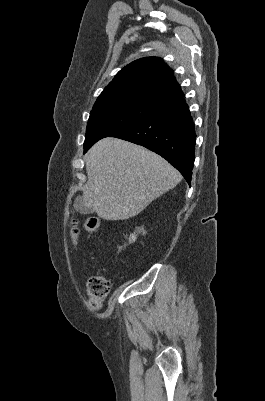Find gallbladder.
I'll use <instances>...</instances> for the list:
<instances>
[{
  "instance_id": "1",
  "label": "gallbladder",
  "mask_w": 265,
  "mask_h": 401,
  "mask_svg": "<svg viewBox=\"0 0 265 401\" xmlns=\"http://www.w3.org/2000/svg\"><path fill=\"white\" fill-rule=\"evenodd\" d=\"M74 209L81 213V215H90V213H94V209L92 207H85L83 196H76L74 201Z\"/></svg>"
}]
</instances>
